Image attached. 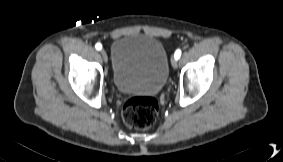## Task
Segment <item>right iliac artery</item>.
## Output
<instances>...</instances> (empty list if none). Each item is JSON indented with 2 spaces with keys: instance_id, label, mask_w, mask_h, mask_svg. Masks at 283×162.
<instances>
[{
  "instance_id": "1",
  "label": "right iliac artery",
  "mask_w": 283,
  "mask_h": 162,
  "mask_svg": "<svg viewBox=\"0 0 283 162\" xmlns=\"http://www.w3.org/2000/svg\"><path fill=\"white\" fill-rule=\"evenodd\" d=\"M95 48H96L97 50H101L102 45H101L100 43H97V44L95 45Z\"/></svg>"
}]
</instances>
